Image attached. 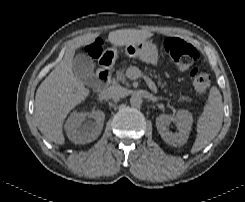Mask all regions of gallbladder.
Listing matches in <instances>:
<instances>
[{
    "label": "gallbladder",
    "mask_w": 245,
    "mask_h": 202,
    "mask_svg": "<svg viewBox=\"0 0 245 202\" xmlns=\"http://www.w3.org/2000/svg\"><path fill=\"white\" fill-rule=\"evenodd\" d=\"M72 70L74 76L85 84L94 81V64L92 59L86 54H77L73 60Z\"/></svg>",
    "instance_id": "gallbladder-1"
}]
</instances>
